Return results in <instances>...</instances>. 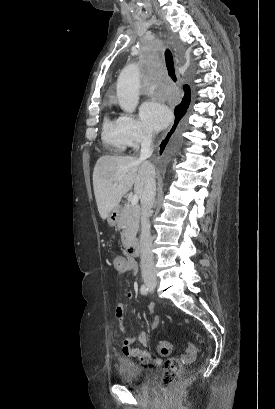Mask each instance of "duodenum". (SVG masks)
Listing matches in <instances>:
<instances>
[{
  "mask_svg": "<svg viewBox=\"0 0 275 409\" xmlns=\"http://www.w3.org/2000/svg\"><path fill=\"white\" fill-rule=\"evenodd\" d=\"M128 254L131 257H138L140 255V246L138 242L132 241L127 245Z\"/></svg>",
  "mask_w": 275,
  "mask_h": 409,
  "instance_id": "1",
  "label": "duodenum"
}]
</instances>
